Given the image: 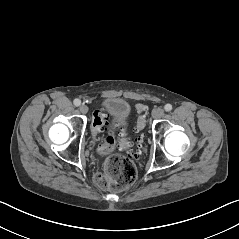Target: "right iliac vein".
Segmentation results:
<instances>
[{"mask_svg":"<svg viewBox=\"0 0 239 239\" xmlns=\"http://www.w3.org/2000/svg\"><path fill=\"white\" fill-rule=\"evenodd\" d=\"M79 110L82 114H86L88 112V107L84 104H82L80 107H79Z\"/></svg>","mask_w":239,"mask_h":239,"instance_id":"right-iliac-vein-1","label":"right iliac vein"}]
</instances>
